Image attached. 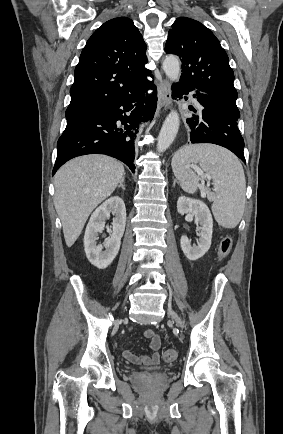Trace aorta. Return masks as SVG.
<instances>
[{
  "mask_svg": "<svg viewBox=\"0 0 283 434\" xmlns=\"http://www.w3.org/2000/svg\"><path fill=\"white\" fill-rule=\"evenodd\" d=\"M163 70L166 76L177 82L180 77V61L174 55H168L163 61ZM180 125V118L177 111L172 110L166 117L157 141V151L164 152L174 141Z\"/></svg>",
  "mask_w": 283,
  "mask_h": 434,
  "instance_id": "762f6f07",
  "label": "aorta"
}]
</instances>
